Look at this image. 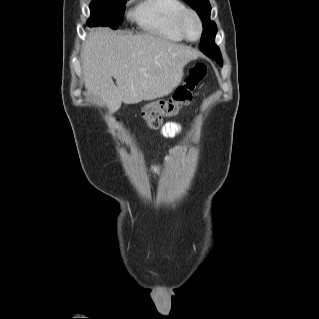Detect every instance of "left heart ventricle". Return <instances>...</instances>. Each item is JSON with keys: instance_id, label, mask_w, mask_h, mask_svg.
I'll list each match as a JSON object with an SVG mask.
<instances>
[{"instance_id": "1", "label": "left heart ventricle", "mask_w": 319, "mask_h": 319, "mask_svg": "<svg viewBox=\"0 0 319 319\" xmlns=\"http://www.w3.org/2000/svg\"><path fill=\"white\" fill-rule=\"evenodd\" d=\"M186 30L190 37L195 38L199 33L198 24L194 18L190 17L186 21Z\"/></svg>"}]
</instances>
